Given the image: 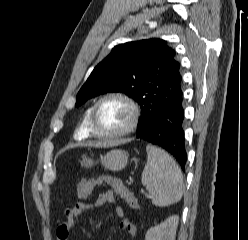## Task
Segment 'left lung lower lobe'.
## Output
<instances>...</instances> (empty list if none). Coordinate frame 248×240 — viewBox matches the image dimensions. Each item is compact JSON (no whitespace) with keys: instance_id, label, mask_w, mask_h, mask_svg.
Wrapping results in <instances>:
<instances>
[{"instance_id":"left-lung-lower-lobe-1","label":"left lung lower lobe","mask_w":248,"mask_h":240,"mask_svg":"<svg viewBox=\"0 0 248 240\" xmlns=\"http://www.w3.org/2000/svg\"><path fill=\"white\" fill-rule=\"evenodd\" d=\"M182 96L164 105L137 138L170 152L185 169L184 109Z\"/></svg>"}]
</instances>
